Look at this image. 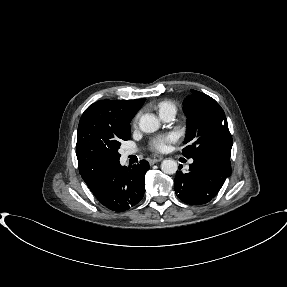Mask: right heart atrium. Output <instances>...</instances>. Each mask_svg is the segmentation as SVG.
<instances>
[{"instance_id":"d8ad5b80","label":"right heart atrium","mask_w":287,"mask_h":287,"mask_svg":"<svg viewBox=\"0 0 287 287\" xmlns=\"http://www.w3.org/2000/svg\"><path fill=\"white\" fill-rule=\"evenodd\" d=\"M138 117L136 116L134 119V123H137Z\"/></svg>"}]
</instances>
